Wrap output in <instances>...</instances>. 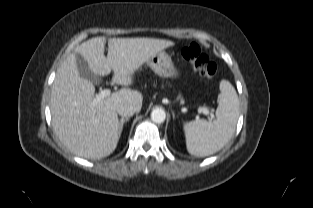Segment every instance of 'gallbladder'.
<instances>
[{"label":"gallbladder","instance_id":"obj_1","mask_svg":"<svg viewBox=\"0 0 313 208\" xmlns=\"http://www.w3.org/2000/svg\"><path fill=\"white\" fill-rule=\"evenodd\" d=\"M75 57L80 74L93 83H99L100 78L90 70L88 63L84 58L80 54H76Z\"/></svg>","mask_w":313,"mask_h":208}]
</instances>
